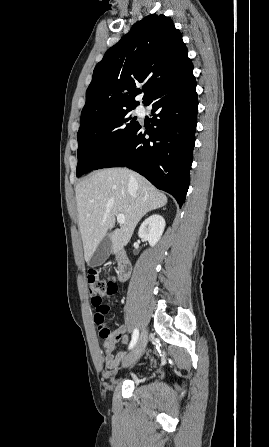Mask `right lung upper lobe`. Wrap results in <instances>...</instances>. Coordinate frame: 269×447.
I'll use <instances>...</instances> for the list:
<instances>
[{
  "mask_svg": "<svg viewBox=\"0 0 269 447\" xmlns=\"http://www.w3.org/2000/svg\"><path fill=\"white\" fill-rule=\"evenodd\" d=\"M182 35L173 21L152 14L134 24L96 65L86 92L80 127L109 111L138 105L162 84L174 79L190 62Z\"/></svg>",
  "mask_w": 269,
  "mask_h": 447,
  "instance_id": "1",
  "label": "right lung upper lobe"
}]
</instances>
